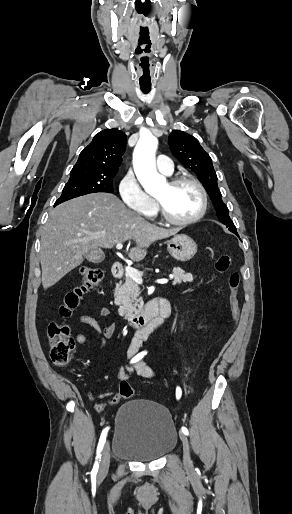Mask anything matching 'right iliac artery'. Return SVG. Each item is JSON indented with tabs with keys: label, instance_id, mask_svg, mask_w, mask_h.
I'll use <instances>...</instances> for the list:
<instances>
[{
	"label": "right iliac artery",
	"instance_id": "obj_1",
	"mask_svg": "<svg viewBox=\"0 0 292 514\" xmlns=\"http://www.w3.org/2000/svg\"><path fill=\"white\" fill-rule=\"evenodd\" d=\"M145 354H146L145 352H140L134 358L131 359L130 363L133 364V363L138 362L139 360H141L144 357ZM108 430H109V427H106L102 431L100 439H99V443H98V447H97V453H96V461H95V464H94L92 472H91L93 477H95L97 472H98V468H99L98 460L101 458V451H102L103 446L105 444Z\"/></svg>",
	"mask_w": 292,
	"mask_h": 514
}]
</instances>
